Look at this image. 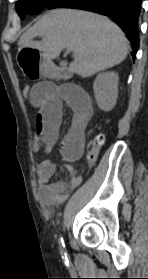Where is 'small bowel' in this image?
Here are the masks:
<instances>
[{"label":"small bowel","mask_w":148,"mask_h":279,"mask_svg":"<svg viewBox=\"0 0 148 279\" xmlns=\"http://www.w3.org/2000/svg\"><path fill=\"white\" fill-rule=\"evenodd\" d=\"M29 100L37 110L33 140L35 152L41 148L45 152H51L58 143L63 104L67 103L74 110L72 122L60 142V153L69 176L52 181L57 172V165L50 159L42 161L38 169L37 182L41 200L45 204L62 203L68 198L70 191L82 181L81 173L71 164L83 154L85 131L93 114L92 101L79 86L57 85L53 82H39L33 85Z\"/></svg>","instance_id":"small-bowel-1"}]
</instances>
